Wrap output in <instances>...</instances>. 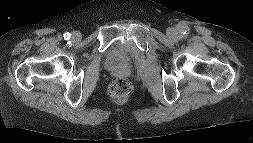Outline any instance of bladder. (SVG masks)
<instances>
[{
    "mask_svg": "<svg viewBox=\"0 0 253 143\" xmlns=\"http://www.w3.org/2000/svg\"><path fill=\"white\" fill-rule=\"evenodd\" d=\"M129 61V53L122 43L113 44L106 55V63L113 68L125 66Z\"/></svg>",
    "mask_w": 253,
    "mask_h": 143,
    "instance_id": "31cf9c89",
    "label": "bladder"
}]
</instances>
